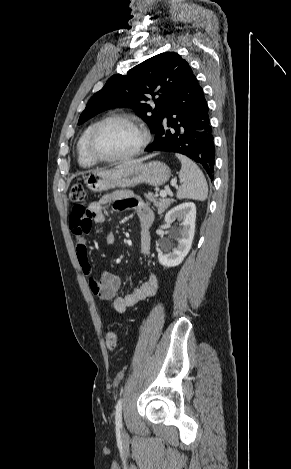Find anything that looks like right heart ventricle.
<instances>
[{
	"label": "right heart ventricle",
	"instance_id": "e07e8e85",
	"mask_svg": "<svg viewBox=\"0 0 291 469\" xmlns=\"http://www.w3.org/2000/svg\"><path fill=\"white\" fill-rule=\"evenodd\" d=\"M97 124V122L91 123L88 125L85 130L80 135L77 145V158L80 166L84 168H90L97 164V162L88 154L87 151V139L92 130V128Z\"/></svg>",
	"mask_w": 291,
	"mask_h": 469
}]
</instances>
